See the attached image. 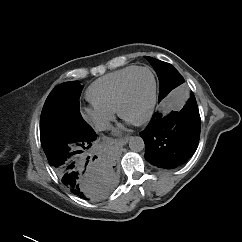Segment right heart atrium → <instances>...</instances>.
Returning <instances> with one entry per match:
<instances>
[{"label": "right heart atrium", "instance_id": "obj_1", "mask_svg": "<svg viewBox=\"0 0 242 242\" xmlns=\"http://www.w3.org/2000/svg\"><path fill=\"white\" fill-rule=\"evenodd\" d=\"M81 115L85 121L101 131L108 129L114 119L113 110L100 108L93 104L83 107Z\"/></svg>", "mask_w": 242, "mask_h": 242}]
</instances>
